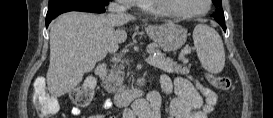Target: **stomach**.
<instances>
[{
	"instance_id": "0dacf381",
	"label": "stomach",
	"mask_w": 273,
	"mask_h": 118,
	"mask_svg": "<svg viewBox=\"0 0 273 118\" xmlns=\"http://www.w3.org/2000/svg\"><path fill=\"white\" fill-rule=\"evenodd\" d=\"M146 32L164 51L177 50L183 46L187 40V31L182 26L173 22L148 26Z\"/></svg>"
}]
</instances>
